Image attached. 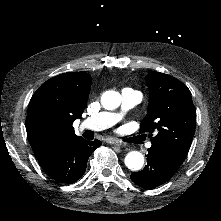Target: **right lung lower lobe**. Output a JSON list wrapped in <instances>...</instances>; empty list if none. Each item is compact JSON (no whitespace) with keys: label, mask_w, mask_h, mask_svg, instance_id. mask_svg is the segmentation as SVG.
Segmentation results:
<instances>
[{"label":"right lung lower lobe","mask_w":221,"mask_h":221,"mask_svg":"<svg viewBox=\"0 0 221 221\" xmlns=\"http://www.w3.org/2000/svg\"><path fill=\"white\" fill-rule=\"evenodd\" d=\"M99 146H101L99 140L87 141L78 137L63 144L38 162L55 181L71 184L85 173L89 156Z\"/></svg>","instance_id":"98d812e1"}]
</instances>
